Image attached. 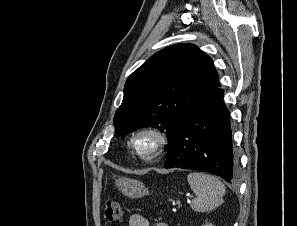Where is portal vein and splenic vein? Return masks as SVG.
<instances>
[{"mask_svg": "<svg viewBox=\"0 0 297 226\" xmlns=\"http://www.w3.org/2000/svg\"><path fill=\"white\" fill-rule=\"evenodd\" d=\"M190 202V201H189ZM177 204H180V201H177Z\"/></svg>", "mask_w": 297, "mask_h": 226, "instance_id": "18ae733b", "label": "portal vein and splenic vein"}]
</instances>
